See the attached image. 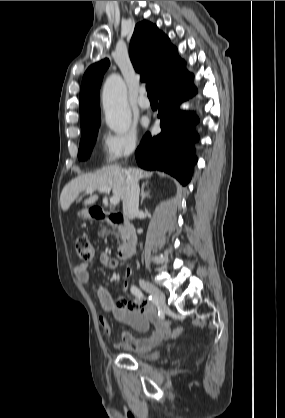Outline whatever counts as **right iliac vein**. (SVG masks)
Returning a JSON list of instances; mask_svg holds the SVG:
<instances>
[{"label": "right iliac vein", "mask_w": 285, "mask_h": 418, "mask_svg": "<svg viewBox=\"0 0 285 418\" xmlns=\"http://www.w3.org/2000/svg\"><path fill=\"white\" fill-rule=\"evenodd\" d=\"M139 283L146 292L150 293L156 299L161 308L165 307V295L157 286L144 279H140Z\"/></svg>", "instance_id": "63e3f726"}]
</instances>
